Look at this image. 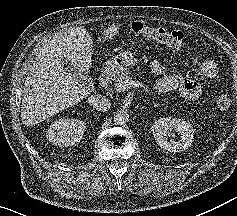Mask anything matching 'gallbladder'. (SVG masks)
Returning <instances> with one entry per match:
<instances>
[{
	"instance_id": "bac80fb5",
	"label": "gallbladder",
	"mask_w": 237,
	"mask_h": 216,
	"mask_svg": "<svg viewBox=\"0 0 237 216\" xmlns=\"http://www.w3.org/2000/svg\"><path fill=\"white\" fill-rule=\"evenodd\" d=\"M81 81H82L84 84H89V81L84 80L83 78L81 79Z\"/></svg>"
}]
</instances>
